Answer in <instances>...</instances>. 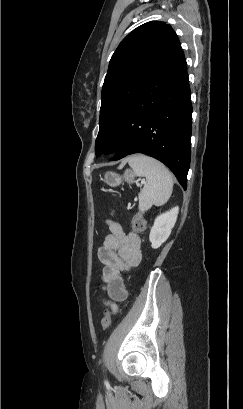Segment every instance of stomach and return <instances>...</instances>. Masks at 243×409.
<instances>
[{
  "label": "stomach",
  "instance_id": "obj_1",
  "mask_svg": "<svg viewBox=\"0 0 243 409\" xmlns=\"http://www.w3.org/2000/svg\"><path fill=\"white\" fill-rule=\"evenodd\" d=\"M135 174L131 170H126L123 176H120L114 172H106L104 175V182L111 187H117L123 183V181L132 184L134 182Z\"/></svg>",
  "mask_w": 243,
  "mask_h": 409
}]
</instances>
